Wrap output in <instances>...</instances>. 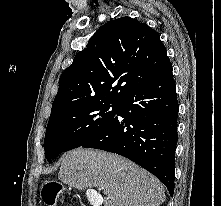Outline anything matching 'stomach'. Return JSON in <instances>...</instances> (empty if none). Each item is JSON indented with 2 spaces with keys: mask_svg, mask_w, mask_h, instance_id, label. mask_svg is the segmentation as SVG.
I'll list each match as a JSON object with an SVG mask.
<instances>
[{
  "mask_svg": "<svg viewBox=\"0 0 221 206\" xmlns=\"http://www.w3.org/2000/svg\"><path fill=\"white\" fill-rule=\"evenodd\" d=\"M65 190L66 188L61 185V184H56L55 186V190H54V194L51 196V197H48V199L51 201H49L47 198H44L45 199V202H50V203H54L55 201V198H57L59 196V194L61 193H65ZM43 199V200H44Z\"/></svg>",
  "mask_w": 221,
  "mask_h": 206,
  "instance_id": "obj_1",
  "label": "stomach"
}]
</instances>
